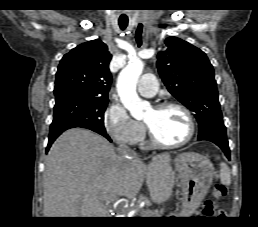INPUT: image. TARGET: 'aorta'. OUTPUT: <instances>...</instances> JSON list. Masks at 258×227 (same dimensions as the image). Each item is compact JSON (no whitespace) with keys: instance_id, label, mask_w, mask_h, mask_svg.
Wrapping results in <instances>:
<instances>
[{"instance_id":"aorta-1","label":"aorta","mask_w":258,"mask_h":227,"mask_svg":"<svg viewBox=\"0 0 258 227\" xmlns=\"http://www.w3.org/2000/svg\"><path fill=\"white\" fill-rule=\"evenodd\" d=\"M143 68L142 61L132 60L122 69L117 80V91L120 100L134 118L142 117L144 110L149 106L147 102L140 99L136 92L137 82Z\"/></svg>"}]
</instances>
